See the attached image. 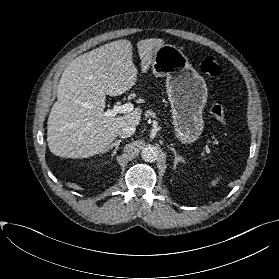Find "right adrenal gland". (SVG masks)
<instances>
[{
  "label": "right adrenal gland",
  "mask_w": 279,
  "mask_h": 279,
  "mask_svg": "<svg viewBox=\"0 0 279 279\" xmlns=\"http://www.w3.org/2000/svg\"><path fill=\"white\" fill-rule=\"evenodd\" d=\"M121 142H122V140H117V141H115L114 143L110 144V145L105 149L104 153H107L110 149H112L113 147H115L114 150H113V152H112V154H111L112 157L115 156V154L117 153V150L119 149V146H120V143H121Z\"/></svg>",
  "instance_id": "right-adrenal-gland-1"
}]
</instances>
